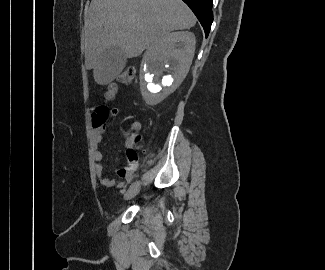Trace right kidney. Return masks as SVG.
I'll return each instance as SVG.
<instances>
[{
    "instance_id": "obj_1",
    "label": "right kidney",
    "mask_w": 325,
    "mask_h": 270,
    "mask_svg": "<svg viewBox=\"0 0 325 270\" xmlns=\"http://www.w3.org/2000/svg\"><path fill=\"white\" fill-rule=\"evenodd\" d=\"M194 52L195 35L188 31L170 33L147 49L140 77L146 104L160 103L179 87L189 71Z\"/></svg>"
}]
</instances>
